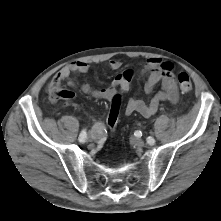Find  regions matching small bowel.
Segmentation results:
<instances>
[{
  "label": "small bowel",
  "mask_w": 221,
  "mask_h": 221,
  "mask_svg": "<svg viewBox=\"0 0 221 221\" xmlns=\"http://www.w3.org/2000/svg\"><path fill=\"white\" fill-rule=\"evenodd\" d=\"M119 60H111L109 69L115 71L121 68ZM90 70V64L85 61L72 62L63 67L54 77L53 81L66 82L69 86L75 87V82L71 79L72 74H83ZM144 73L146 80L144 92L153 93L155 87L160 84L161 89L156 92L149 101L141 98L131 97L127 101L125 111L127 114L138 113L144 117L153 116L162 102L176 104L179 101L178 85L173 73V65L170 62L159 58H149L144 63ZM127 74L130 76L128 77ZM132 72L130 70L116 75L110 85L101 89H94L88 83L81 85V90L86 95L95 99H110L117 91L126 92L129 90ZM95 131L101 136L102 127L97 125Z\"/></svg>",
  "instance_id": "1"
}]
</instances>
